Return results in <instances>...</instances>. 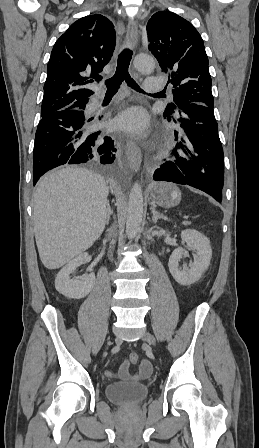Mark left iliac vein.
<instances>
[{"instance_id": "1", "label": "left iliac vein", "mask_w": 259, "mask_h": 448, "mask_svg": "<svg viewBox=\"0 0 259 448\" xmlns=\"http://www.w3.org/2000/svg\"><path fill=\"white\" fill-rule=\"evenodd\" d=\"M143 340L149 343L150 345H155V338L149 332L144 333Z\"/></svg>"}]
</instances>
